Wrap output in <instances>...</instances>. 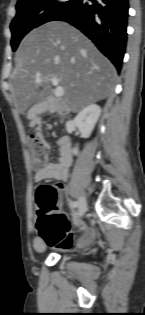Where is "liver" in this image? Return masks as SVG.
Returning <instances> with one entry per match:
<instances>
[{
	"mask_svg": "<svg viewBox=\"0 0 145 315\" xmlns=\"http://www.w3.org/2000/svg\"><path fill=\"white\" fill-rule=\"evenodd\" d=\"M53 77L64 88L59 100L52 96ZM115 78V67L83 33L68 23L53 21L32 30L21 41L11 92L21 113L43 102L59 113L78 112L108 97ZM32 111L30 108L28 118H32Z\"/></svg>",
	"mask_w": 145,
	"mask_h": 315,
	"instance_id": "1",
	"label": "liver"
}]
</instances>
